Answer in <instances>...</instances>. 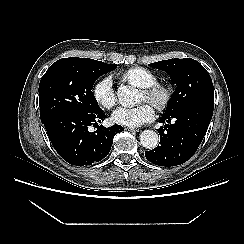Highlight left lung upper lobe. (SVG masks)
<instances>
[{"mask_svg":"<svg viewBox=\"0 0 244 244\" xmlns=\"http://www.w3.org/2000/svg\"><path fill=\"white\" fill-rule=\"evenodd\" d=\"M150 66L167 72L176 84L165 114L171 115L179 109L195 103L214 105L213 84L209 73L194 59H169Z\"/></svg>","mask_w":244,"mask_h":244,"instance_id":"left-lung-upper-lobe-1","label":"left lung upper lobe"}]
</instances>
